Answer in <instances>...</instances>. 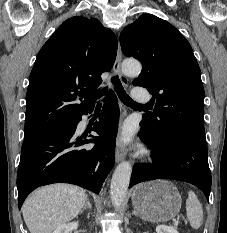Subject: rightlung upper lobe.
Segmentation results:
<instances>
[{"label": "right lung upper lobe", "instance_id": "obj_1", "mask_svg": "<svg viewBox=\"0 0 227 233\" xmlns=\"http://www.w3.org/2000/svg\"><path fill=\"white\" fill-rule=\"evenodd\" d=\"M117 39L99 20L64 21L39 51L29 77L25 134L62 125L94 107L101 74L113 67Z\"/></svg>", "mask_w": 227, "mask_h": 233}]
</instances>
